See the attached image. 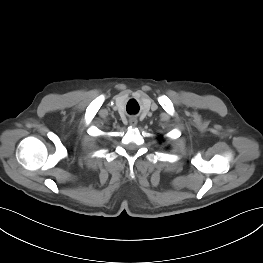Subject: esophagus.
<instances>
[{
	"label": "esophagus",
	"instance_id": "1",
	"mask_svg": "<svg viewBox=\"0 0 263 263\" xmlns=\"http://www.w3.org/2000/svg\"><path fill=\"white\" fill-rule=\"evenodd\" d=\"M129 122H130V125H131V126H136V124H137V119L133 117V118L130 119Z\"/></svg>",
	"mask_w": 263,
	"mask_h": 263
}]
</instances>
